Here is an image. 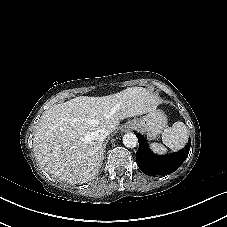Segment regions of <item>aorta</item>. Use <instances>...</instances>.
Wrapping results in <instances>:
<instances>
[{"label":"aorta","instance_id":"obj_1","mask_svg":"<svg viewBox=\"0 0 227 227\" xmlns=\"http://www.w3.org/2000/svg\"><path fill=\"white\" fill-rule=\"evenodd\" d=\"M138 139L135 134L133 133H127L123 136V144L127 148H134L137 146Z\"/></svg>","mask_w":227,"mask_h":227}]
</instances>
